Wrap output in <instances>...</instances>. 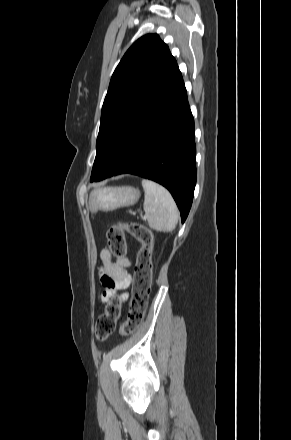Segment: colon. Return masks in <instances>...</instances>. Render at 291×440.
<instances>
[{
	"label": "colon",
	"mask_w": 291,
	"mask_h": 440,
	"mask_svg": "<svg viewBox=\"0 0 291 440\" xmlns=\"http://www.w3.org/2000/svg\"><path fill=\"white\" fill-rule=\"evenodd\" d=\"M124 229L141 243L137 254V261L134 269V287L127 320L122 324L120 333L129 335L133 333L142 323L148 297L152 286V252L153 238L151 233L138 224H125L122 222L111 225L107 231V240L110 251L115 258H124L127 253V245L124 236ZM113 287V282L106 283ZM120 315V300L111 296L104 308L103 313L95 323V335L100 340H105L113 332L115 323Z\"/></svg>",
	"instance_id": "5ec220e1"
}]
</instances>
